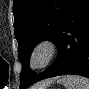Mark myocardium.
<instances>
[{
    "instance_id": "myocardium-1",
    "label": "myocardium",
    "mask_w": 89,
    "mask_h": 89,
    "mask_svg": "<svg viewBox=\"0 0 89 89\" xmlns=\"http://www.w3.org/2000/svg\"><path fill=\"white\" fill-rule=\"evenodd\" d=\"M44 52V58L40 64H35V56L38 52ZM57 54V44L49 38L38 41L29 53V67L33 70H40L48 67Z\"/></svg>"
}]
</instances>
